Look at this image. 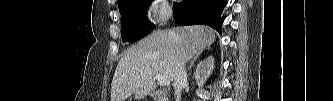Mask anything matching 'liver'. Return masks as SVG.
<instances>
[{"mask_svg":"<svg viewBox=\"0 0 333 101\" xmlns=\"http://www.w3.org/2000/svg\"><path fill=\"white\" fill-rule=\"evenodd\" d=\"M215 31L195 25L158 30L127 49L111 84V101H125L132 94L139 101L156 88V76L174 82L181 63L189 61L215 41Z\"/></svg>","mask_w":333,"mask_h":101,"instance_id":"obj_1","label":"liver"}]
</instances>
